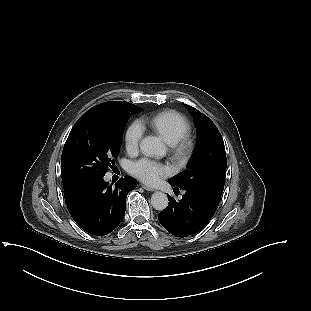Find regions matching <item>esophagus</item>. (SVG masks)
<instances>
[{
    "label": "esophagus",
    "instance_id": "34e87169",
    "mask_svg": "<svg viewBox=\"0 0 311 311\" xmlns=\"http://www.w3.org/2000/svg\"><path fill=\"white\" fill-rule=\"evenodd\" d=\"M141 187H142L143 189H145L146 191H154V190H155L153 187L147 186V185H145V184H141Z\"/></svg>",
    "mask_w": 311,
    "mask_h": 311
}]
</instances>
